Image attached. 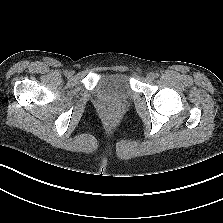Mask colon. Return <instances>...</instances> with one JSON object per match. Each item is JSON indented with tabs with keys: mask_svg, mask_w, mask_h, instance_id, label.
Listing matches in <instances>:
<instances>
[{
	"mask_svg": "<svg viewBox=\"0 0 223 223\" xmlns=\"http://www.w3.org/2000/svg\"><path fill=\"white\" fill-rule=\"evenodd\" d=\"M106 121L107 123L111 124L113 121V115L111 113L106 114Z\"/></svg>",
	"mask_w": 223,
	"mask_h": 223,
	"instance_id": "obj_1",
	"label": "colon"
}]
</instances>
